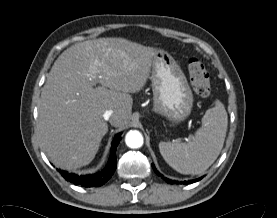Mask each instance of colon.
<instances>
[{
  "label": "colon",
  "mask_w": 277,
  "mask_h": 218,
  "mask_svg": "<svg viewBox=\"0 0 277 218\" xmlns=\"http://www.w3.org/2000/svg\"><path fill=\"white\" fill-rule=\"evenodd\" d=\"M188 72L193 91L200 97H207L211 92V81L208 70L199 58L188 61Z\"/></svg>",
  "instance_id": "obj_1"
}]
</instances>
